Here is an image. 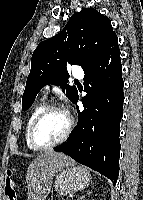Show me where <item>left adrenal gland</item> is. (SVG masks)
Returning <instances> with one entry per match:
<instances>
[{"label": "left adrenal gland", "instance_id": "obj_1", "mask_svg": "<svg viewBox=\"0 0 143 200\" xmlns=\"http://www.w3.org/2000/svg\"><path fill=\"white\" fill-rule=\"evenodd\" d=\"M89 193H91V192H89ZM83 197H84V196H81V197H80L78 200H82V199H83Z\"/></svg>", "mask_w": 143, "mask_h": 200}]
</instances>
